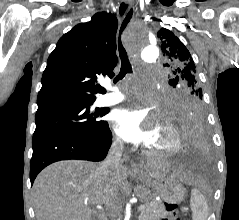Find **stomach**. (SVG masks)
Instances as JSON below:
<instances>
[{"mask_svg":"<svg viewBox=\"0 0 239 220\" xmlns=\"http://www.w3.org/2000/svg\"><path fill=\"white\" fill-rule=\"evenodd\" d=\"M143 186H151L150 192H156L162 200L167 204L163 205L160 220H185L187 212L184 205H177L186 197V190L177 178L172 176L167 178H155V183H142Z\"/></svg>","mask_w":239,"mask_h":220,"instance_id":"stomach-1","label":"stomach"}]
</instances>
